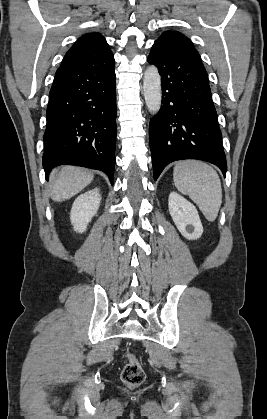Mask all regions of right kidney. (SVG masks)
<instances>
[{"label": "right kidney", "instance_id": "right-kidney-1", "mask_svg": "<svg viewBox=\"0 0 267 419\" xmlns=\"http://www.w3.org/2000/svg\"><path fill=\"white\" fill-rule=\"evenodd\" d=\"M100 201L101 195L98 188L77 197L70 212L71 224L76 232L86 231L88 223L98 211Z\"/></svg>", "mask_w": 267, "mask_h": 419}]
</instances>
